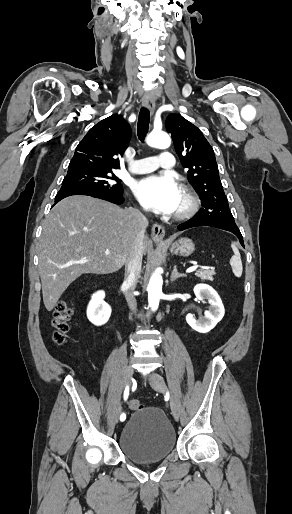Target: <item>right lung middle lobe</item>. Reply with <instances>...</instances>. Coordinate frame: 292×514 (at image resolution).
Returning <instances> with one entry per match:
<instances>
[{"instance_id":"1","label":"right lung middle lobe","mask_w":292,"mask_h":514,"mask_svg":"<svg viewBox=\"0 0 292 514\" xmlns=\"http://www.w3.org/2000/svg\"><path fill=\"white\" fill-rule=\"evenodd\" d=\"M120 182L114 172H68L60 190L89 189L116 192L123 190Z\"/></svg>"}]
</instances>
